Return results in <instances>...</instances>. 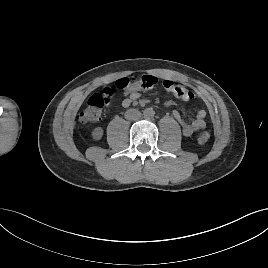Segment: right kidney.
Wrapping results in <instances>:
<instances>
[{"label":"right kidney","instance_id":"ca27d5eb","mask_svg":"<svg viewBox=\"0 0 268 268\" xmlns=\"http://www.w3.org/2000/svg\"><path fill=\"white\" fill-rule=\"evenodd\" d=\"M103 136V130L101 128H95L93 131H92V138L94 140H100Z\"/></svg>","mask_w":268,"mask_h":268}]
</instances>
